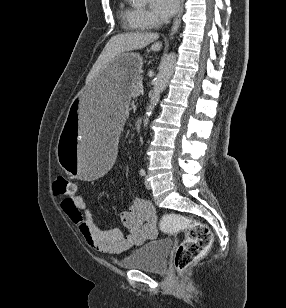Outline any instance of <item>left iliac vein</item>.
Segmentation results:
<instances>
[{"instance_id":"4c4485c4","label":"left iliac vein","mask_w":286,"mask_h":308,"mask_svg":"<svg viewBox=\"0 0 286 308\" xmlns=\"http://www.w3.org/2000/svg\"><path fill=\"white\" fill-rule=\"evenodd\" d=\"M144 184H145V187H146L147 189H151V183L149 182V180L147 179V177H145Z\"/></svg>"}]
</instances>
